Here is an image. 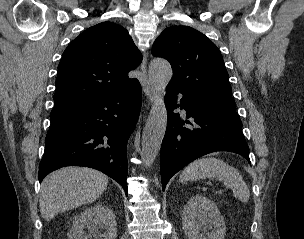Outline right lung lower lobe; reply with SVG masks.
<instances>
[{"label": "right lung lower lobe", "mask_w": 304, "mask_h": 239, "mask_svg": "<svg viewBox=\"0 0 304 239\" xmlns=\"http://www.w3.org/2000/svg\"><path fill=\"white\" fill-rule=\"evenodd\" d=\"M141 107L139 81L114 90L75 111L50 117L39 181L65 166H85L116 180L127 193V142Z\"/></svg>", "instance_id": "98d812e1"}]
</instances>
